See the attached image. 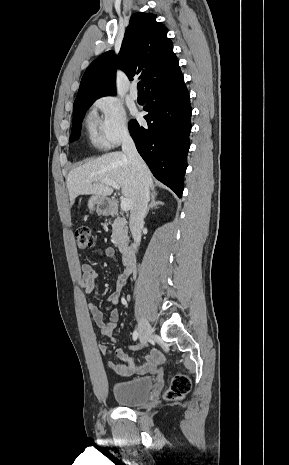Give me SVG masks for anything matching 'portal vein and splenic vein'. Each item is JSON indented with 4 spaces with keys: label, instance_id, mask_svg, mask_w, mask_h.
I'll return each mask as SVG.
<instances>
[{
    "label": "portal vein and splenic vein",
    "instance_id": "18ae733b",
    "mask_svg": "<svg viewBox=\"0 0 289 465\" xmlns=\"http://www.w3.org/2000/svg\"><path fill=\"white\" fill-rule=\"evenodd\" d=\"M102 183L107 184V185H110V186H112V187H113L114 189H116V190H119V189H120L119 185H118L116 182L112 181V180L105 179V180H102ZM120 207H121V209H122L123 211H128V210H130V208H131V201H130L129 199H127V198L122 199V200H121Z\"/></svg>",
    "mask_w": 289,
    "mask_h": 465
}]
</instances>
